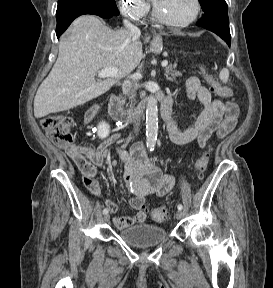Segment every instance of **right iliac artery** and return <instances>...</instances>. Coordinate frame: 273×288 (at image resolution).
I'll list each match as a JSON object with an SVG mask.
<instances>
[{"label":"right iliac artery","mask_w":273,"mask_h":288,"mask_svg":"<svg viewBox=\"0 0 273 288\" xmlns=\"http://www.w3.org/2000/svg\"><path fill=\"white\" fill-rule=\"evenodd\" d=\"M107 213H108V208H104L103 214H107Z\"/></svg>","instance_id":"obj_1"}]
</instances>
